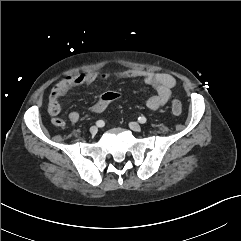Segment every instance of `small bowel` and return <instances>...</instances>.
Returning a JSON list of instances; mask_svg holds the SVG:
<instances>
[{"instance_id": "small-bowel-1", "label": "small bowel", "mask_w": 241, "mask_h": 241, "mask_svg": "<svg viewBox=\"0 0 241 241\" xmlns=\"http://www.w3.org/2000/svg\"><path fill=\"white\" fill-rule=\"evenodd\" d=\"M111 78L116 79H136L141 78L147 84L155 89V94L147 100V107L150 110H158L163 107L171 97L172 89L176 85V79L168 73H157L152 70L131 69L117 73H101L98 71H88L74 74L60 80L51 90L48 103V113L51 116V122L56 127H63L65 121L59 117L61 112L60 98L70 89L78 86L91 85L96 81H106ZM112 102V101H111ZM111 102L103 101L102 96L91 107L92 112L102 113ZM71 123H77L80 120V114L72 111L68 115Z\"/></svg>"}]
</instances>
